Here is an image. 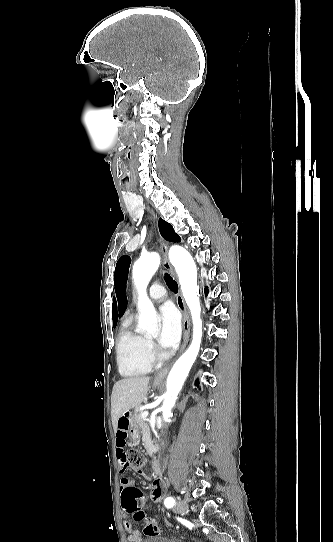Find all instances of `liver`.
<instances>
[{"label":"liver","instance_id":"1","mask_svg":"<svg viewBox=\"0 0 333 542\" xmlns=\"http://www.w3.org/2000/svg\"><path fill=\"white\" fill-rule=\"evenodd\" d=\"M151 378L148 376H128L113 386L111 396V420L113 430H118V420L132 408H139L147 398Z\"/></svg>","mask_w":333,"mask_h":542}]
</instances>
